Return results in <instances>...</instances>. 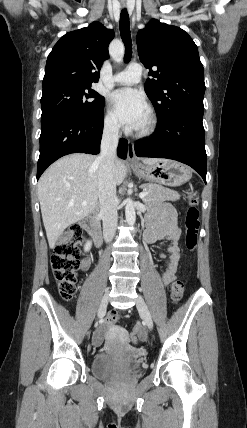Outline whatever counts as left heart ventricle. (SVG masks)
<instances>
[{
    "mask_svg": "<svg viewBox=\"0 0 247 428\" xmlns=\"http://www.w3.org/2000/svg\"><path fill=\"white\" fill-rule=\"evenodd\" d=\"M147 124V118L145 119V121L141 124V126L138 129H142L146 126Z\"/></svg>",
    "mask_w": 247,
    "mask_h": 428,
    "instance_id": "b2bd125f",
    "label": "left heart ventricle"
}]
</instances>
